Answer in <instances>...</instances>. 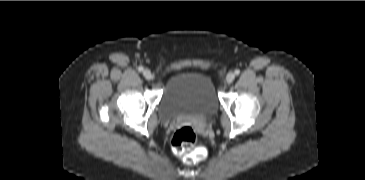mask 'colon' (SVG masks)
<instances>
[{"instance_id": "5ec220e1", "label": "colon", "mask_w": 365, "mask_h": 180, "mask_svg": "<svg viewBox=\"0 0 365 180\" xmlns=\"http://www.w3.org/2000/svg\"><path fill=\"white\" fill-rule=\"evenodd\" d=\"M197 135L192 127L183 126L176 130L172 137V148L175 154L186 164H197L206 158L207 152L196 146Z\"/></svg>"}]
</instances>
